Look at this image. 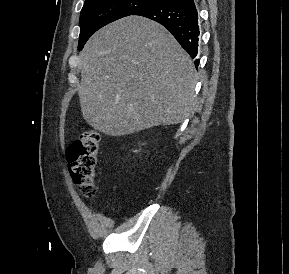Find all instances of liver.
I'll list each match as a JSON object with an SVG mask.
<instances>
[{
    "label": "liver",
    "instance_id": "obj_1",
    "mask_svg": "<svg viewBox=\"0 0 289 274\" xmlns=\"http://www.w3.org/2000/svg\"><path fill=\"white\" fill-rule=\"evenodd\" d=\"M80 67L83 118L108 136L179 124L192 111L193 61L147 18L125 17L97 31L80 53Z\"/></svg>",
    "mask_w": 289,
    "mask_h": 274
}]
</instances>
